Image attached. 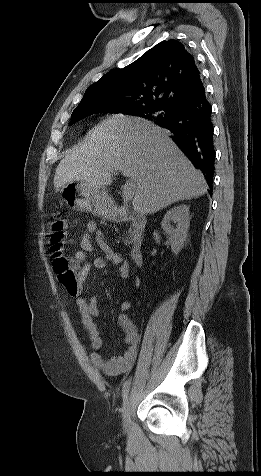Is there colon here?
I'll use <instances>...</instances> for the list:
<instances>
[{
	"mask_svg": "<svg viewBox=\"0 0 261 476\" xmlns=\"http://www.w3.org/2000/svg\"><path fill=\"white\" fill-rule=\"evenodd\" d=\"M51 251L53 268L59 282L68 291H75L78 287V273L73 264L64 255L61 243L65 239V222L56 219L52 225Z\"/></svg>",
	"mask_w": 261,
	"mask_h": 476,
	"instance_id": "1",
	"label": "colon"
}]
</instances>
